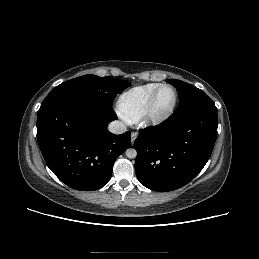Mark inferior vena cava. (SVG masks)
Segmentation results:
<instances>
[{"label":"inferior vena cava","mask_w":259,"mask_h":259,"mask_svg":"<svg viewBox=\"0 0 259 259\" xmlns=\"http://www.w3.org/2000/svg\"><path fill=\"white\" fill-rule=\"evenodd\" d=\"M108 130L113 134H122L126 132L127 129L124 123L120 121H113L109 124Z\"/></svg>","instance_id":"obj_1"}]
</instances>
